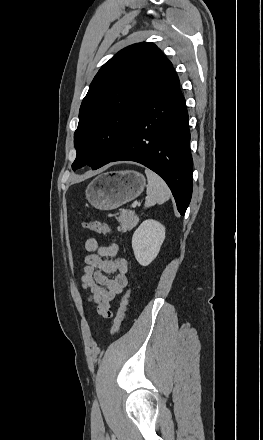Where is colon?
<instances>
[{
  "instance_id": "1",
  "label": "colon",
  "mask_w": 263,
  "mask_h": 440,
  "mask_svg": "<svg viewBox=\"0 0 263 440\" xmlns=\"http://www.w3.org/2000/svg\"><path fill=\"white\" fill-rule=\"evenodd\" d=\"M81 225L84 229L93 231L95 233L102 234V235L108 234L107 228L99 222L92 221V220H85L82 222ZM127 303H128V294H126L121 300L118 318H117V321L112 329L113 334H116L120 330V328L125 320Z\"/></svg>"
}]
</instances>
